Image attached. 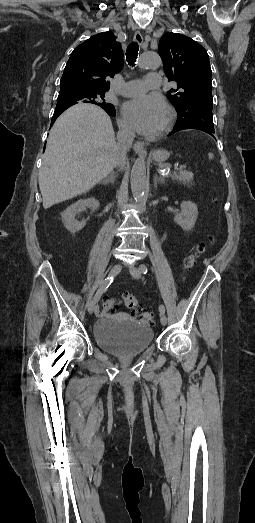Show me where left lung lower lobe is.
<instances>
[{"label": "left lung lower lobe", "instance_id": "0a47b994", "mask_svg": "<svg viewBox=\"0 0 255 523\" xmlns=\"http://www.w3.org/2000/svg\"><path fill=\"white\" fill-rule=\"evenodd\" d=\"M182 129H189V127H182ZM177 129H172V134H173V131H175ZM196 130H199V127H196Z\"/></svg>", "mask_w": 255, "mask_h": 523}]
</instances>
